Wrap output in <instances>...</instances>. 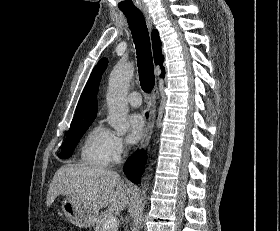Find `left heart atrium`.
<instances>
[{
    "label": "left heart atrium",
    "instance_id": "1",
    "mask_svg": "<svg viewBox=\"0 0 280 231\" xmlns=\"http://www.w3.org/2000/svg\"><path fill=\"white\" fill-rule=\"evenodd\" d=\"M128 140L132 144L138 143L145 134V121L140 114H132L128 117Z\"/></svg>",
    "mask_w": 280,
    "mask_h": 231
}]
</instances>
